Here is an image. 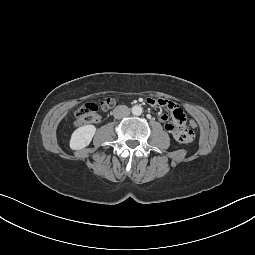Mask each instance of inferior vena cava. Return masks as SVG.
<instances>
[{
	"instance_id": "obj_1",
	"label": "inferior vena cava",
	"mask_w": 255,
	"mask_h": 255,
	"mask_svg": "<svg viewBox=\"0 0 255 255\" xmlns=\"http://www.w3.org/2000/svg\"><path fill=\"white\" fill-rule=\"evenodd\" d=\"M130 114V109L125 106V105H118L114 110H113V116L116 119H121L123 117H126Z\"/></svg>"
}]
</instances>
